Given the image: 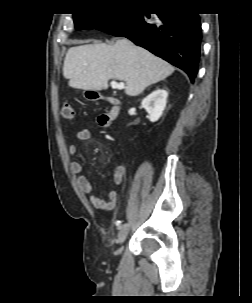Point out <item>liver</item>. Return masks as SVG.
<instances>
[{"label": "liver", "mask_w": 252, "mask_h": 303, "mask_svg": "<svg viewBox=\"0 0 252 303\" xmlns=\"http://www.w3.org/2000/svg\"><path fill=\"white\" fill-rule=\"evenodd\" d=\"M174 72V67L128 39L112 45L94 44L71 47L66 53L63 76L72 88L103 90L110 79L126 82L125 93L141 94Z\"/></svg>", "instance_id": "liver-1"}]
</instances>
